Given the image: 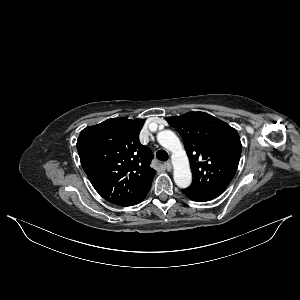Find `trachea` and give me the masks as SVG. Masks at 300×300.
Wrapping results in <instances>:
<instances>
[{"label":"trachea","instance_id":"1","mask_svg":"<svg viewBox=\"0 0 300 300\" xmlns=\"http://www.w3.org/2000/svg\"><path fill=\"white\" fill-rule=\"evenodd\" d=\"M156 157L158 160L160 161H167L169 156H168V153L165 151V150H158L156 152Z\"/></svg>","mask_w":300,"mask_h":300}]
</instances>
